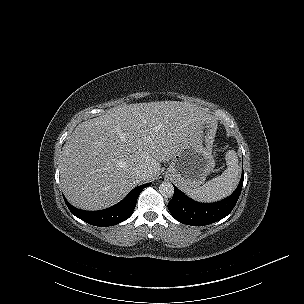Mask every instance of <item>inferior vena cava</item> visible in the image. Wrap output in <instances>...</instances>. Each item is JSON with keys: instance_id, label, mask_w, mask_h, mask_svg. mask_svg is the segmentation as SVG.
<instances>
[{"instance_id": "inferior-vena-cava-1", "label": "inferior vena cava", "mask_w": 304, "mask_h": 304, "mask_svg": "<svg viewBox=\"0 0 304 304\" xmlns=\"http://www.w3.org/2000/svg\"><path fill=\"white\" fill-rule=\"evenodd\" d=\"M136 175L141 181H145L148 178V171L146 169H136Z\"/></svg>"}]
</instances>
